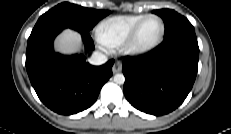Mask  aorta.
<instances>
[{
	"label": "aorta",
	"mask_w": 231,
	"mask_h": 134,
	"mask_svg": "<svg viewBox=\"0 0 231 134\" xmlns=\"http://www.w3.org/2000/svg\"><path fill=\"white\" fill-rule=\"evenodd\" d=\"M114 82L116 83V84H123L124 82H125V77H124V75L123 74H116L115 76H114Z\"/></svg>",
	"instance_id": "aorta-1"
}]
</instances>
